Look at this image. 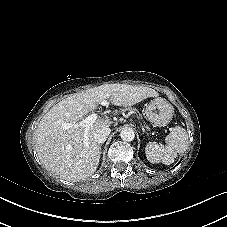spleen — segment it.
Here are the masks:
<instances>
[{"label": "spleen", "instance_id": "spleen-1", "mask_svg": "<svg viewBox=\"0 0 227 227\" xmlns=\"http://www.w3.org/2000/svg\"><path fill=\"white\" fill-rule=\"evenodd\" d=\"M166 145L149 142L145 147L147 160L151 163L162 162L170 165L177 155L184 152L188 146V133L186 129L176 126L165 138Z\"/></svg>", "mask_w": 227, "mask_h": 227}]
</instances>
